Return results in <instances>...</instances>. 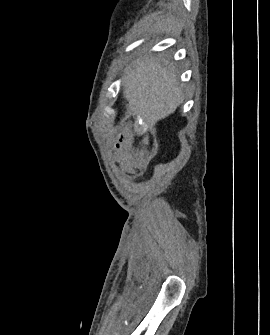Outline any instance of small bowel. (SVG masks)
Wrapping results in <instances>:
<instances>
[{
	"label": "small bowel",
	"mask_w": 270,
	"mask_h": 335,
	"mask_svg": "<svg viewBox=\"0 0 270 335\" xmlns=\"http://www.w3.org/2000/svg\"><path fill=\"white\" fill-rule=\"evenodd\" d=\"M130 133L131 134H136L137 133V128L136 127H131L130 128ZM121 141L123 144V150H128V144L132 143L131 139H128L127 135H122L121 136ZM134 141L135 142H140L141 141V136L140 135H135L134 136ZM139 150L141 149L140 147L138 148ZM112 150H118V145H112ZM116 154H122L123 152L121 151H116ZM149 154L151 153L150 151L148 152ZM106 160L107 161H114L115 165H135L136 167L138 165H143L144 164V159L143 158H115L114 154H107L106 155ZM128 171H121L120 176L121 178H132L133 173L132 171H129L130 169H127Z\"/></svg>",
	"instance_id": "c3829d8e"
}]
</instances>
